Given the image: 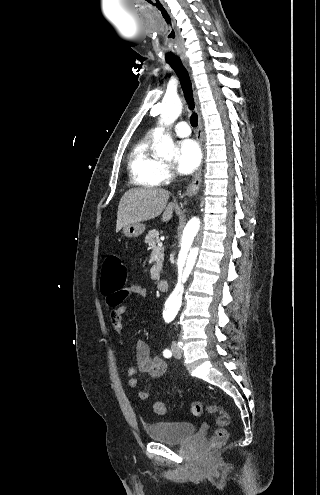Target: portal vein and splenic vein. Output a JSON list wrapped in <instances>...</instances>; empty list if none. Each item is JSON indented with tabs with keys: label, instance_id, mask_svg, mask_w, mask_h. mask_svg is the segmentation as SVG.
<instances>
[{
	"label": "portal vein and splenic vein",
	"instance_id": "portal-vein-and-splenic-vein-1",
	"mask_svg": "<svg viewBox=\"0 0 320 495\" xmlns=\"http://www.w3.org/2000/svg\"><path fill=\"white\" fill-rule=\"evenodd\" d=\"M158 247H162V243L161 242L158 243ZM154 251L157 252V251H159V249H154Z\"/></svg>",
	"mask_w": 320,
	"mask_h": 495
}]
</instances>
